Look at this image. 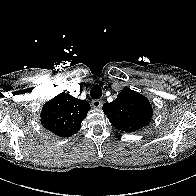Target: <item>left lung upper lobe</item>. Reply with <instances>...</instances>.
<instances>
[{"instance_id":"5c2ea615","label":"left lung upper lobe","mask_w":196,"mask_h":196,"mask_svg":"<svg viewBox=\"0 0 196 196\" xmlns=\"http://www.w3.org/2000/svg\"><path fill=\"white\" fill-rule=\"evenodd\" d=\"M103 111L118 130L134 132L151 122L152 107L146 97L131 89H123L111 103L103 105Z\"/></svg>"}]
</instances>
